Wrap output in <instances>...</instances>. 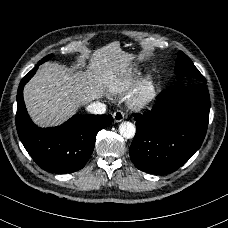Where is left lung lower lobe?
I'll return each instance as SVG.
<instances>
[{
  "mask_svg": "<svg viewBox=\"0 0 228 228\" xmlns=\"http://www.w3.org/2000/svg\"><path fill=\"white\" fill-rule=\"evenodd\" d=\"M210 97L204 84L165 90L151 111L134 114L136 134L129 148L141 171L174 172L201 146L206 135Z\"/></svg>",
  "mask_w": 228,
  "mask_h": 228,
  "instance_id": "obj_1",
  "label": "left lung lower lobe"
}]
</instances>
